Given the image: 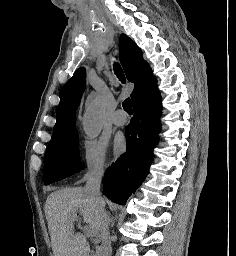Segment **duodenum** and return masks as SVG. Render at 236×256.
I'll use <instances>...</instances> for the list:
<instances>
[{"label":"duodenum","instance_id":"410a0bca","mask_svg":"<svg viewBox=\"0 0 236 256\" xmlns=\"http://www.w3.org/2000/svg\"><path fill=\"white\" fill-rule=\"evenodd\" d=\"M84 256H93L91 249L86 250Z\"/></svg>","mask_w":236,"mask_h":256}]
</instances>
